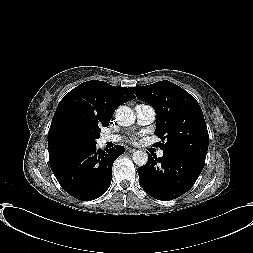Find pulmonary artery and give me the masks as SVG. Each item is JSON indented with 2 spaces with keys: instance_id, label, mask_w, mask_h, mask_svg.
I'll return each instance as SVG.
<instances>
[{
  "instance_id": "obj_1",
  "label": "pulmonary artery",
  "mask_w": 253,
  "mask_h": 253,
  "mask_svg": "<svg viewBox=\"0 0 253 253\" xmlns=\"http://www.w3.org/2000/svg\"><path fill=\"white\" fill-rule=\"evenodd\" d=\"M135 114L138 124L142 126H146L153 123L156 118L154 108L148 104H137L135 106ZM120 139L121 137L119 135L114 134L103 135L100 138V143L106 144L108 142H118ZM163 155H164L163 150L157 151L158 157H162Z\"/></svg>"
}]
</instances>
